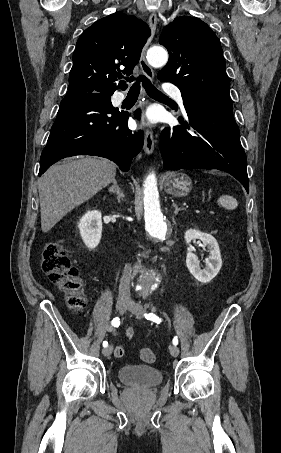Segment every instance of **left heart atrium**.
I'll use <instances>...</instances> for the list:
<instances>
[{
	"label": "left heart atrium",
	"mask_w": 281,
	"mask_h": 453,
	"mask_svg": "<svg viewBox=\"0 0 281 453\" xmlns=\"http://www.w3.org/2000/svg\"><path fill=\"white\" fill-rule=\"evenodd\" d=\"M143 120L146 123H156L159 121V116L155 109L149 108L143 115Z\"/></svg>",
	"instance_id": "39dd6f15"
}]
</instances>
